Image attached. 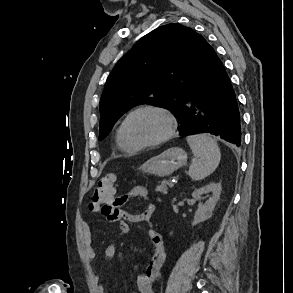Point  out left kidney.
<instances>
[{
	"mask_svg": "<svg viewBox=\"0 0 293 293\" xmlns=\"http://www.w3.org/2000/svg\"><path fill=\"white\" fill-rule=\"evenodd\" d=\"M221 190V184L215 182L194 190V192L192 193V197L195 200L199 201V204L198 209L194 215V220L192 223L193 226L206 221L212 216L216 203L219 200ZM207 193H211V196L205 203H202V195Z\"/></svg>",
	"mask_w": 293,
	"mask_h": 293,
	"instance_id": "left-kidney-1",
	"label": "left kidney"
}]
</instances>
